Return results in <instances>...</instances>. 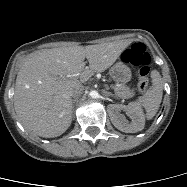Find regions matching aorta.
I'll return each instance as SVG.
<instances>
[{
  "mask_svg": "<svg viewBox=\"0 0 187 187\" xmlns=\"http://www.w3.org/2000/svg\"><path fill=\"white\" fill-rule=\"evenodd\" d=\"M89 96L92 98H98L99 97V93L95 90H92L89 92Z\"/></svg>",
  "mask_w": 187,
  "mask_h": 187,
  "instance_id": "762f6f07",
  "label": "aorta"
}]
</instances>
